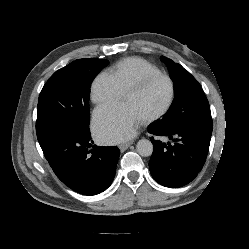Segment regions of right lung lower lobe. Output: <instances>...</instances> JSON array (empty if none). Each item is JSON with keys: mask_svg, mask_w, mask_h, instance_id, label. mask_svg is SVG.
<instances>
[{"mask_svg": "<svg viewBox=\"0 0 249 249\" xmlns=\"http://www.w3.org/2000/svg\"><path fill=\"white\" fill-rule=\"evenodd\" d=\"M92 143L88 132L59 135L40 145L57 177L84 195L98 194L111 185L120 155L117 147L98 148Z\"/></svg>", "mask_w": 249, "mask_h": 249, "instance_id": "obj_1", "label": "right lung lower lobe"}]
</instances>
